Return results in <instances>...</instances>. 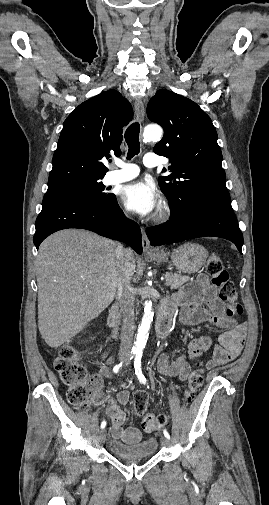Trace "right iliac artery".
Listing matches in <instances>:
<instances>
[{"instance_id":"1","label":"right iliac artery","mask_w":269,"mask_h":505,"mask_svg":"<svg viewBox=\"0 0 269 505\" xmlns=\"http://www.w3.org/2000/svg\"><path fill=\"white\" fill-rule=\"evenodd\" d=\"M134 355H135V352H131L130 359H132ZM121 367H122V363H120V364H118V365H115V366L113 367V372H114V373H117ZM105 426H106V421L104 420V421H102V423H101V428H102V429H104V428H105Z\"/></svg>"}]
</instances>
